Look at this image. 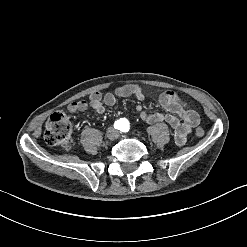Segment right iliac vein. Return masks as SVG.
<instances>
[{
	"instance_id": "obj_1",
	"label": "right iliac vein",
	"mask_w": 247,
	"mask_h": 247,
	"mask_svg": "<svg viewBox=\"0 0 247 247\" xmlns=\"http://www.w3.org/2000/svg\"><path fill=\"white\" fill-rule=\"evenodd\" d=\"M114 136H115V133H114L113 131H112V132H108V133L106 134V137L109 138V139H113Z\"/></svg>"
}]
</instances>
